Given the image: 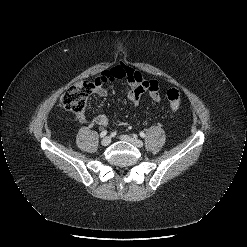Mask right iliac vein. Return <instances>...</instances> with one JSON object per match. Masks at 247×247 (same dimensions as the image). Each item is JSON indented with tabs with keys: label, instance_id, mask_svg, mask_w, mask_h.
I'll return each mask as SVG.
<instances>
[{
	"label": "right iliac vein",
	"instance_id": "obj_1",
	"mask_svg": "<svg viewBox=\"0 0 247 247\" xmlns=\"http://www.w3.org/2000/svg\"><path fill=\"white\" fill-rule=\"evenodd\" d=\"M111 143V138L110 137H105L102 141L101 144L103 146H108Z\"/></svg>",
	"mask_w": 247,
	"mask_h": 247
}]
</instances>
